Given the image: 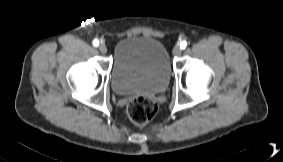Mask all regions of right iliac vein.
Masks as SVG:
<instances>
[{
	"label": "right iliac vein",
	"instance_id": "obj_1",
	"mask_svg": "<svg viewBox=\"0 0 283 162\" xmlns=\"http://www.w3.org/2000/svg\"><path fill=\"white\" fill-rule=\"evenodd\" d=\"M99 51L103 54H105L107 52V46L104 43H101L99 45Z\"/></svg>",
	"mask_w": 283,
	"mask_h": 162
}]
</instances>
